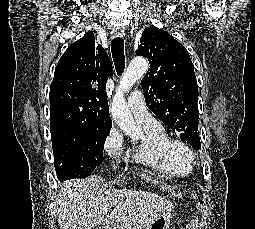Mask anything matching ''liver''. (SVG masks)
I'll list each match as a JSON object with an SVG mask.
<instances>
[{
	"instance_id": "liver-1",
	"label": "liver",
	"mask_w": 255,
	"mask_h": 229,
	"mask_svg": "<svg viewBox=\"0 0 255 229\" xmlns=\"http://www.w3.org/2000/svg\"><path fill=\"white\" fill-rule=\"evenodd\" d=\"M100 176L66 181L56 195L61 229H92L100 224L142 229L172 204L156 193L133 189L98 192ZM113 208L110 214L109 209Z\"/></svg>"
}]
</instances>
